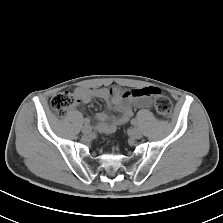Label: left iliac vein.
<instances>
[{
	"instance_id": "1",
	"label": "left iliac vein",
	"mask_w": 223,
	"mask_h": 223,
	"mask_svg": "<svg viewBox=\"0 0 223 223\" xmlns=\"http://www.w3.org/2000/svg\"><path fill=\"white\" fill-rule=\"evenodd\" d=\"M130 136L133 139H140L142 137V132L138 128H133V129L130 130Z\"/></svg>"
}]
</instances>
